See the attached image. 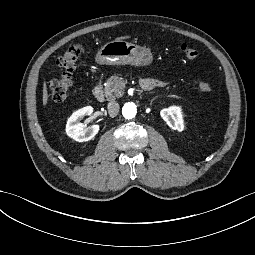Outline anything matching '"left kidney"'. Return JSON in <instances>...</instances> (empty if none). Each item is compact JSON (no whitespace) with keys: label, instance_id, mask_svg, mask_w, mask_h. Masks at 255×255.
<instances>
[{"label":"left kidney","instance_id":"obj_1","mask_svg":"<svg viewBox=\"0 0 255 255\" xmlns=\"http://www.w3.org/2000/svg\"><path fill=\"white\" fill-rule=\"evenodd\" d=\"M161 116L171 129L178 131L183 130V120L181 118V111L178 107L162 110Z\"/></svg>","mask_w":255,"mask_h":255}]
</instances>
